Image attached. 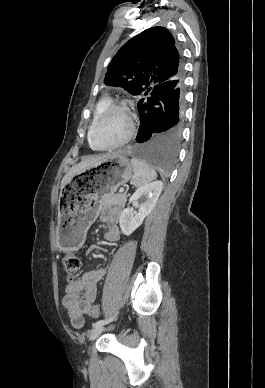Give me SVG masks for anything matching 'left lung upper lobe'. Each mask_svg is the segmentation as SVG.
Listing matches in <instances>:
<instances>
[{
	"label": "left lung upper lobe",
	"instance_id": "left-lung-upper-lobe-1",
	"mask_svg": "<svg viewBox=\"0 0 265 388\" xmlns=\"http://www.w3.org/2000/svg\"><path fill=\"white\" fill-rule=\"evenodd\" d=\"M184 74L183 64L172 34L152 27L130 39L108 65L104 83L121 86L145 100L157 86Z\"/></svg>",
	"mask_w": 265,
	"mask_h": 388
}]
</instances>
